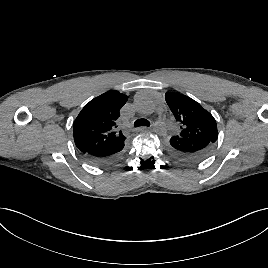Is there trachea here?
<instances>
[{"label":"trachea","mask_w":268,"mask_h":268,"mask_svg":"<svg viewBox=\"0 0 268 268\" xmlns=\"http://www.w3.org/2000/svg\"><path fill=\"white\" fill-rule=\"evenodd\" d=\"M150 126V122L144 118H140L134 122V127Z\"/></svg>","instance_id":"trachea-1"}]
</instances>
